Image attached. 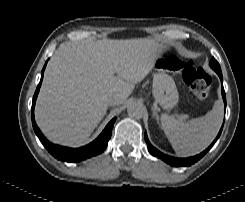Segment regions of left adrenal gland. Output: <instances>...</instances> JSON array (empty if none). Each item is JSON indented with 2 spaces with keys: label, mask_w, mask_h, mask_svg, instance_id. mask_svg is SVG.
Masks as SVG:
<instances>
[{
  "label": "left adrenal gland",
  "mask_w": 245,
  "mask_h": 202,
  "mask_svg": "<svg viewBox=\"0 0 245 202\" xmlns=\"http://www.w3.org/2000/svg\"><path fill=\"white\" fill-rule=\"evenodd\" d=\"M152 110H153V117H155L157 122L159 123V116L157 114L156 108L153 107Z\"/></svg>",
  "instance_id": "left-adrenal-gland-1"
}]
</instances>
